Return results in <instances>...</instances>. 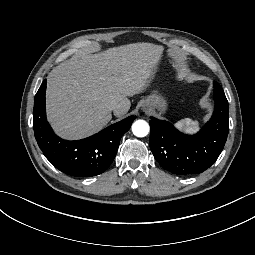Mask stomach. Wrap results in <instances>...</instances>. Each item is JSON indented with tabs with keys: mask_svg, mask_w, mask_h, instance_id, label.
Returning a JSON list of instances; mask_svg holds the SVG:
<instances>
[{
	"mask_svg": "<svg viewBox=\"0 0 255 255\" xmlns=\"http://www.w3.org/2000/svg\"><path fill=\"white\" fill-rule=\"evenodd\" d=\"M144 103H147V109H148L147 112L150 114L153 113V109L156 106H159L161 108L165 107V102L156 95H152V96L146 98L144 100L143 104Z\"/></svg>",
	"mask_w": 255,
	"mask_h": 255,
	"instance_id": "1",
	"label": "stomach"
}]
</instances>
